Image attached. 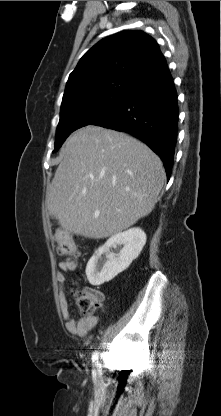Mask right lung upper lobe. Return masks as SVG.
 Instances as JSON below:
<instances>
[{"mask_svg":"<svg viewBox=\"0 0 221 416\" xmlns=\"http://www.w3.org/2000/svg\"><path fill=\"white\" fill-rule=\"evenodd\" d=\"M166 60L156 41L141 31L108 36L88 50L70 74L63 101L102 89L138 88L163 81Z\"/></svg>","mask_w":221,"mask_h":416,"instance_id":"cb5924a9","label":"right lung upper lobe"}]
</instances>
